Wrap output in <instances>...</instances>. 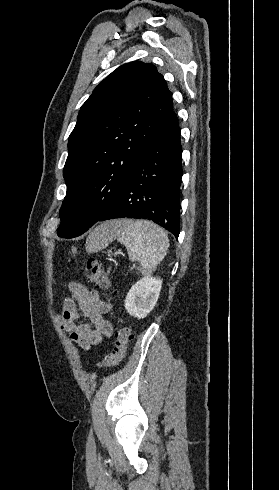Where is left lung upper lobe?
<instances>
[{"mask_svg":"<svg viewBox=\"0 0 279 490\" xmlns=\"http://www.w3.org/2000/svg\"><path fill=\"white\" fill-rule=\"evenodd\" d=\"M172 93L152 64H124L82 105L68 139L67 193L59 237L86 232L112 207L142 148L173 112Z\"/></svg>","mask_w":279,"mask_h":490,"instance_id":"left-lung-upper-lobe-1","label":"left lung upper lobe"}]
</instances>
